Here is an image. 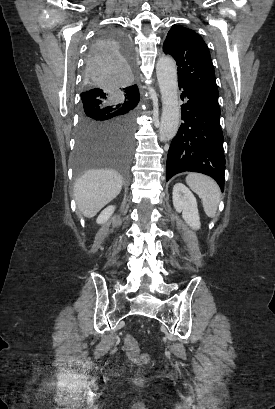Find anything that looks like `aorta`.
<instances>
[{"mask_svg":"<svg viewBox=\"0 0 275 409\" xmlns=\"http://www.w3.org/2000/svg\"><path fill=\"white\" fill-rule=\"evenodd\" d=\"M156 74L162 100L159 140L167 142L175 136L179 128L181 114L177 94V66L172 56H159Z\"/></svg>","mask_w":275,"mask_h":409,"instance_id":"1","label":"aorta"}]
</instances>
